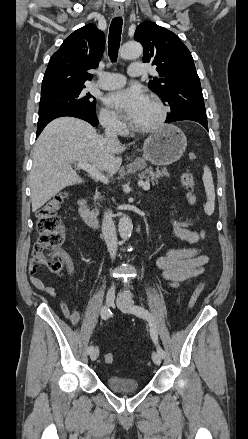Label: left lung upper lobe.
<instances>
[{"label": "left lung upper lobe", "mask_w": 248, "mask_h": 439, "mask_svg": "<svg viewBox=\"0 0 248 439\" xmlns=\"http://www.w3.org/2000/svg\"><path fill=\"white\" fill-rule=\"evenodd\" d=\"M134 39L143 46V62L157 66L149 88L167 102L172 117L182 112L206 114L201 84L192 55L180 38L154 22H143Z\"/></svg>", "instance_id": "obj_1"}]
</instances>
